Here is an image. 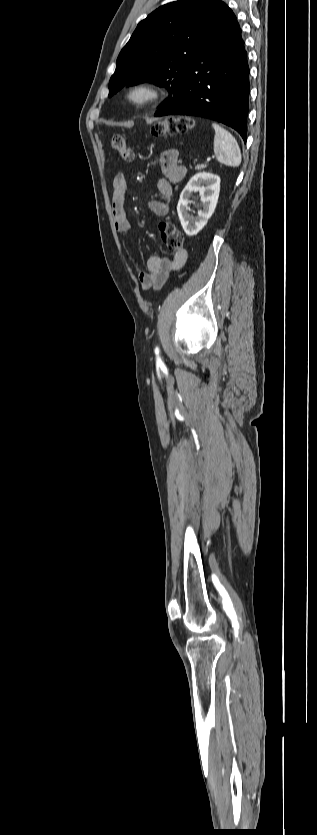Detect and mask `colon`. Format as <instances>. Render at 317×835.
Segmentation results:
<instances>
[{
  "label": "colon",
  "instance_id": "obj_1",
  "mask_svg": "<svg viewBox=\"0 0 317 835\" xmlns=\"http://www.w3.org/2000/svg\"><path fill=\"white\" fill-rule=\"evenodd\" d=\"M195 126L194 121L188 117H172L155 124L151 133L156 137H163L166 135H175L180 133H187ZM112 148L119 154L123 161H131L133 159V152L128 146L126 138L121 134H116L111 140ZM159 232L163 243L171 250H180L183 246V235L177 226L168 220H163L159 223Z\"/></svg>",
  "mask_w": 317,
  "mask_h": 835
}]
</instances>
